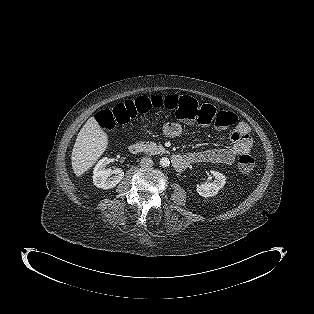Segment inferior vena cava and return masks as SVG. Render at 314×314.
Listing matches in <instances>:
<instances>
[{
	"label": "inferior vena cava",
	"instance_id": "obj_1",
	"mask_svg": "<svg viewBox=\"0 0 314 314\" xmlns=\"http://www.w3.org/2000/svg\"><path fill=\"white\" fill-rule=\"evenodd\" d=\"M154 164L153 160L150 157H143L140 161V166L142 168H150Z\"/></svg>",
	"mask_w": 314,
	"mask_h": 314
}]
</instances>
